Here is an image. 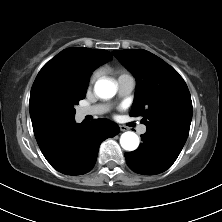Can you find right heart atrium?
I'll return each instance as SVG.
<instances>
[{
    "mask_svg": "<svg viewBox=\"0 0 222 222\" xmlns=\"http://www.w3.org/2000/svg\"><path fill=\"white\" fill-rule=\"evenodd\" d=\"M98 77H99V71H95L91 76L90 82L94 83Z\"/></svg>",
    "mask_w": 222,
    "mask_h": 222,
    "instance_id": "obj_1",
    "label": "right heart atrium"
}]
</instances>
